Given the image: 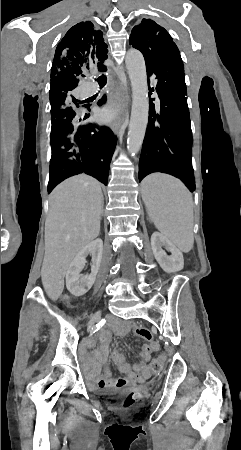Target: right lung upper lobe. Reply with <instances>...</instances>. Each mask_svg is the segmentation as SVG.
Instances as JSON below:
<instances>
[{"label": "right lung upper lobe", "mask_w": 241, "mask_h": 450, "mask_svg": "<svg viewBox=\"0 0 241 450\" xmlns=\"http://www.w3.org/2000/svg\"><path fill=\"white\" fill-rule=\"evenodd\" d=\"M108 50L103 33L90 21L80 22L69 29L58 44L50 82V101L66 98L77 87L79 77L89 69L105 72Z\"/></svg>", "instance_id": "right-lung-upper-lobe-1"}]
</instances>
